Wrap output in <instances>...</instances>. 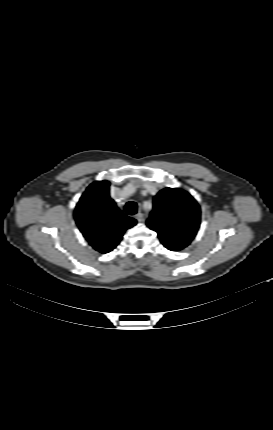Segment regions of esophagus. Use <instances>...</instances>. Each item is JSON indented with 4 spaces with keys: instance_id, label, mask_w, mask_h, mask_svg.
<instances>
[{
    "instance_id": "esophagus-1",
    "label": "esophagus",
    "mask_w": 273,
    "mask_h": 430,
    "mask_svg": "<svg viewBox=\"0 0 273 430\" xmlns=\"http://www.w3.org/2000/svg\"><path fill=\"white\" fill-rule=\"evenodd\" d=\"M135 219L139 222H143L144 221V215L139 212L135 215Z\"/></svg>"
}]
</instances>
